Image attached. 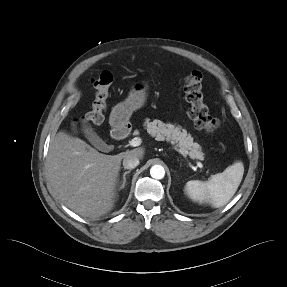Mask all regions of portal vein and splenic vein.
Segmentation results:
<instances>
[{
    "mask_svg": "<svg viewBox=\"0 0 287 287\" xmlns=\"http://www.w3.org/2000/svg\"><path fill=\"white\" fill-rule=\"evenodd\" d=\"M130 146L131 147H137V146H140L141 145V143H142V140H141V138H139V137H135V138H133L130 142ZM179 151L182 153V151L179 149ZM183 154V153H182ZM184 155V154H183ZM186 156V155H185ZM197 167L198 168H200V169H202L203 168V165H202V163L201 162H197Z\"/></svg>",
    "mask_w": 287,
    "mask_h": 287,
    "instance_id": "portal-vein-and-splenic-vein-1",
    "label": "portal vein and splenic vein"
}]
</instances>
